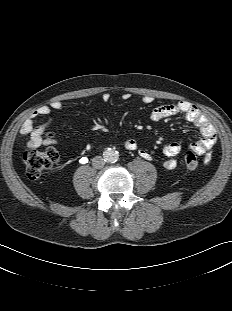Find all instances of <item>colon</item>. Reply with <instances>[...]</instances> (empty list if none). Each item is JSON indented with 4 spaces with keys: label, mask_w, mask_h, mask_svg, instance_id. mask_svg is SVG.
Masks as SVG:
<instances>
[{
    "label": "colon",
    "mask_w": 232,
    "mask_h": 311,
    "mask_svg": "<svg viewBox=\"0 0 232 311\" xmlns=\"http://www.w3.org/2000/svg\"><path fill=\"white\" fill-rule=\"evenodd\" d=\"M59 160L57 149L50 147L44 151L27 150L23 155L26 176L31 180L38 179L45 171L52 168ZM184 163L188 169H196L198 156L193 150H188L184 155Z\"/></svg>",
    "instance_id": "1"
}]
</instances>
